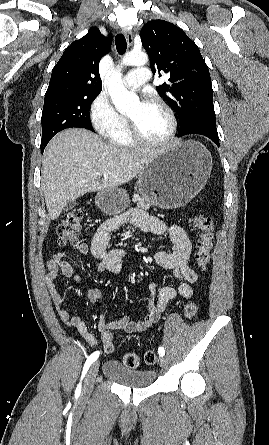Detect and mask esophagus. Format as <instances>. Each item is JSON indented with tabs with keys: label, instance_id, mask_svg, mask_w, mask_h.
Returning a JSON list of instances; mask_svg holds the SVG:
<instances>
[{
	"label": "esophagus",
	"instance_id": "obj_1",
	"mask_svg": "<svg viewBox=\"0 0 269 445\" xmlns=\"http://www.w3.org/2000/svg\"><path fill=\"white\" fill-rule=\"evenodd\" d=\"M123 33H124V35L126 37L127 43L129 45H132L133 44V34H132V32L129 31V30H124Z\"/></svg>",
	"mask_w": 269,
	"mask_h": 445
}]
</instances>
